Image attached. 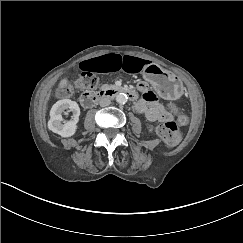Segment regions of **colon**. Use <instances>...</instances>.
<instances>
[{
	"mask_svg": "<svg viewBox=\"0 0 243 243\" xmlns=\"http://www.w3.org/2000/svg\"><path fill=\"white\" fill-rule=\"evenodd\" d=\"M98 85V79L90 74L84 73L75 81L74 85L61 86L57 91L58 97H69L72 96L76 89L92 90ZM169 109L173 115L171 121L160 124L156 128L157 135L168 145L174 146L181 140L180 126L187 123L186 114L174 106L169 105Z\"/></svg>",
	"mask_w": 243,
	"mask_h": 243,
	"instance_id": "1",
	"label": "colon"
}]
</instances>
